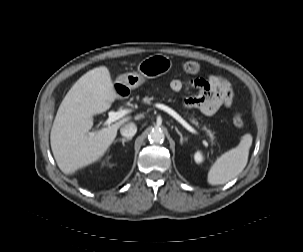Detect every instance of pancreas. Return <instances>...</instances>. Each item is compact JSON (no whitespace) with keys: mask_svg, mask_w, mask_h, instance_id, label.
<instances>
[{"mask_svg":"<svg viewBox=\"0 0 303 252\" xmlns=\"http://www.w3.org/2000/svg\"><path fill=\"white\" fill-rule=\"evenodd\" d=\"M153 100H154V97H153V96H152V97L145 96V97L143 98V102H144L145 104H148V105L152 104V101H153ZM190 120H191L192 124H194L195 126H197V127L200 126L199 123H198V121H197L195 118H192V117H191ZM202 128H203V130L206 131V133L210 136L211 140L213 141V140L215 139L214 133H213L210 129H208L206 126H203Z\"/></svg>","mask_w":303,"mask_h":252,"instance_id":"1","label":"pancreas"}]
</instances>
